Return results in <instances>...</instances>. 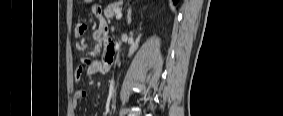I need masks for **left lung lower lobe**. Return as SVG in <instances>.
Segmentation results:
<instances>
[{
	"mask_svg": "<svg viewBox=\"0 0 283 116\" xmlns=\"http://www.w3.org/2000/svg\"><path fill=\"white\" fill-rule=\"evenodd\" d=\"M175 3L177 2V0H173Z\"/></svg>",
	"mask_w": 283,
	"mask_h": 116,
	"instance_id": "1",
	"label": "left lung lower lobe"
}]
</instances>
